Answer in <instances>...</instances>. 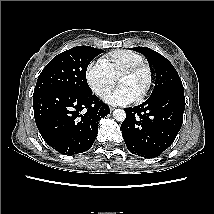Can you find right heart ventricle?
I'll list each match as a JSON object with an SVG mask.
<instances>
[{
	"label": "right heart ventricle",
	"mask_w": 214,
	"mask_h": 214,
	"mask_svg": "<svg viewBox=\"0 0 214 214\" xmlns=\"http://www.w3.org/2000/svg\"><path fill=\"white\" fill-rule=\"evenodd\" d=\"M101 61L107 67L109 72L116 78L124 69L143 62L144 57L138 52L121 49L108 53L101 59Z\"/></svg>",
	"instance_id": "e07e8e85"
}]
</instances>
